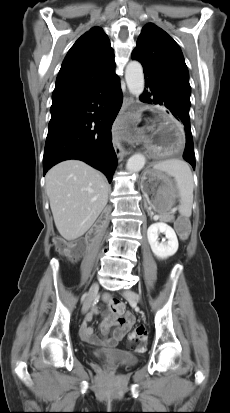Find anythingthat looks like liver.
<instances>
[{"instance_id":"1","label":"liver","mask_w":230,"mask_h":413,"mask_svg":"<svg viewBox=\"0 0 230 413\" xmlns=\"http://www.w3.org/2000/svg\"><path fill=\"white\" fill-rule=\"evenodd\" d=\"M109 185L96 169L79 160H67L46 174V192L54 222L68 241L84 235L108 201Z\"/></svg>"}]
</instances>
